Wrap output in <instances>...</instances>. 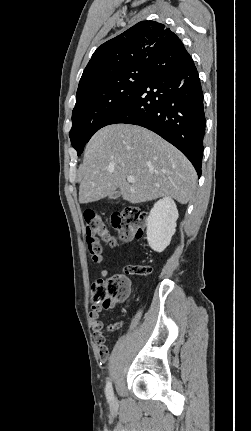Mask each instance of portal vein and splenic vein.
Returning a JSON list of instances; mask_svg holds the SVG:
<instances>
[{
  "mask_svg": "<svg viewBox=\"0 0 251 431\" xmlns=\"http://www.w3.org/2000/svg\"><path fill=\"white\" fill-rule=\"evenodd\" d=\"M127 181H128L129 183L134 182V181H135L134 176H128V177H127Z\"/></svg>",
  "mask_w": 251,
  "mask_h": 431,
  "instance_id": "portal-vein-and-splenic-vein-1",
  "label": "portal vein and splenic vein"
}]
</instances>
